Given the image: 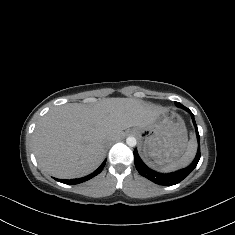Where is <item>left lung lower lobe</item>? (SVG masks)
<instances>
[{
	"mask_svg": "<svg viewBox=\"0 0 235 235\" xmlns=\"http://www.w3.org/2000/svg\"><path fill=\"white\" fill-rule=\"evenodd\" d=\"M185 110L187 112H189L192 116V120H193V124L195 126L196 129V134H197V139H198V151H197V155L194 159V161L186 168L178 170L176 172L173 173H168V174H163V173H159L156 172L150 168H148L143 161L140 159L137 150H134V163L136 166V169L138 170V172L146 177L147 179L151 180L152 182L158 184V185H174L177 184L179 182H181L184 178H186L193 170L194 168L197 166L199 159H200V138H199V133H198V128L194 119V115L193 113L188 109L185 108Z\"/></svg>",
	"mask_w": 235,
	"mask_h": 235,
	"instance_id": "left-lung-lower-lobe-1",
	"label": "left lung lower lobe"
}]
</instances>
